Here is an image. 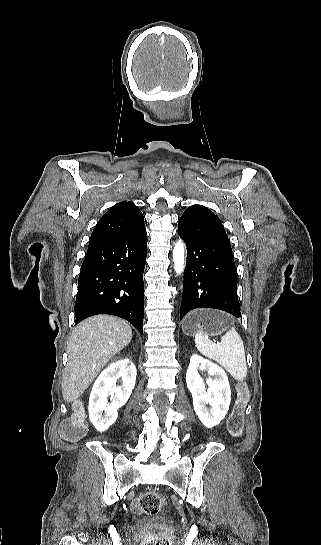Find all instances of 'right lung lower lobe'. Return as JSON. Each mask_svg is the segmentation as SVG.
Masks as SVG:
<instances>
[{"label":"right lung lower lobe","instance_id":"right-lung-lower-lobe-1","mask_svg":"<svg viewBox=\"0 0 321 545\" xmlns=\"http://www.w3.org/2000/svg\"><path fill=\"white\" fill-rule=\"evenodd\" d=\"M146 256L145 226L118 240L89 247L78 279L75 324L93 315L112 314L143 334Z\"/></svg>","mask_w":321,"mask_h":545}]
</instances>
